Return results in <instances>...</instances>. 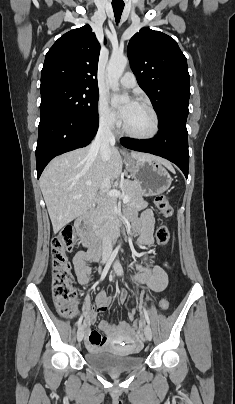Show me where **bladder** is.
Segmentation results:
<instances>
[{
	"label": "bladder",
	"mask_w": 235,
	"mask_h": 404,
	"mask_svg": "<svg viewBox=\"0 0 235 404\" xmlns=\"http://www.w3.org/2000/svg\"><path fill=\"white\" fill-rule=\"evenodd\" d=\"M118 348L105 346L93 349L85 354V360L94 368L111 373L132 371L142 364L143 358L133 354L136 349L120 354Z\"/></svg>",
	"instance_id": "obj_1"
}]
</instances>
